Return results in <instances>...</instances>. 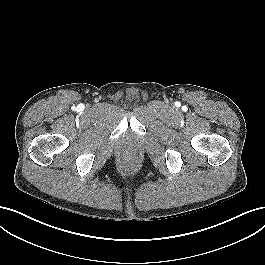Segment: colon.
<instances>
[{"label":"colon","instance_id":"obj_1","mask_svg":"<svg viewBox=\"0 0 265 265\" xmlns=\"http://www.w3.org/2000/svg\"><path fill=\"white\" fill-rule=\"evenodd\" d=\"M133 155L132 154H127L126 156H125V162L127 163V164H131L132 162H133Z\"/></svg>","mask_w":265,"mask_h":265}]
</instances>
